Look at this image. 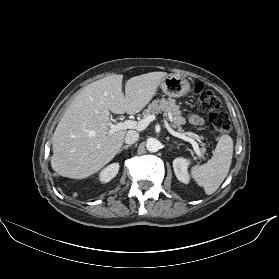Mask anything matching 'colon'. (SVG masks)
<instances>
[{
    "instance_id": "5ec220e1",
    "label": "colon",
    "mask_w": 279,
    "mask_h": 279,
    "mask_svg": "<svg viewBox=\"0 0 279 279\" xmlns=\"http://www.w3.org/2000/svg\"><path fill=\"white\" fill-rule=\"evenodd\" d=\"M198 95L199 108L201 112L207 114L209 120L219 134H227L231 129V122L228 114L221 110V100L214 92L204 89L201 83L194 87Z\"/></svg>"
}]
</instances>
